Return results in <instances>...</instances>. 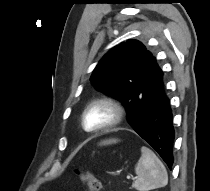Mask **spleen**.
I'll return each instance as SVG.
<instances>
[{"instance_id":"1","label":"spleen","mask_w":210,"mask_h":191,"mask_svg":"<svg viewBox=\"0 0 210 191\" xmlns=\"http://www.w3.org/2000/svg\"><path fill=\"white\" fill-rule=\"evenodd\" d=\"M137 179L133 187L138 191H149L164 187L168 183V174L164 164L147 147L141 148V157L135 166Z\"/></svg>"}]
</instances>
